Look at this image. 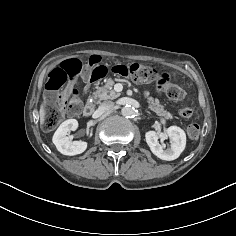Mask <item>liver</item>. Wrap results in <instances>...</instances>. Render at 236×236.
<instances>
[{
    "mask_svg": "<svg viewBox=\"0 0 236 236\" xmlns=\"http://www.w3.org/2000/svg\"><path fill=\"white\" fill-rule=\"evenodd\" d=\"M39 116H40V124L43 125L44 122H45V109H44V104H41V106H40Z\"/></svg>",
    "mask_w": 236,
    "mask_h": 236,
    "instance_id": "obj_1",
    "label": "liver"
}]
</instances>
